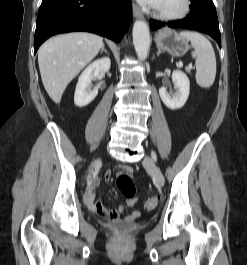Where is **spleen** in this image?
Instances as JSON below:
<instances>
[{"label": "spleen", "mask_w": 247, "mask_h": 265, "mask_svg": "<svg viewBox=\"0 0 247 265\" xmlns=\"http://www.w3.org/2000/svg\"><path fill=\"white\" fill-rule=\"evenodd\" d=\"M179 35L190 41L194 49L192 57L195 58L196 83L202 88H209L216 76V58L210 41L198 32L182 31Z\"/></svg>", "instance_id": "spleen-1"}]
</instances>
